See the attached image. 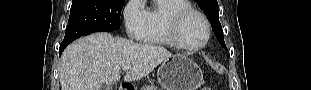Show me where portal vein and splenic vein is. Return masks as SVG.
Here are the masks:
<instances>
[{
    "mask_svg": "<svg viewBox=\"0 0 311 90\" xmlns=\"http://www.w3.org/2000/svg\"><path fill=\"white\" fill-rule=\"evenodd\" d=\"M130 69L129 65L122 66L123 71H128Z\"/></svg>",
    "mask_w": 311,
    "mask_h": 90,
    "instance_id": "18ae733b",
    "label": "portal vein and splenic vein"
}]
</instances>
